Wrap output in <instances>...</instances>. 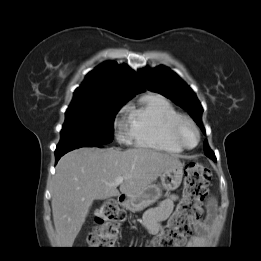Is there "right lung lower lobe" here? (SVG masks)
Returning <instances> with one entry per match:
<instances>
[{"label": "right lung lower lobe", "instance_id": "98d812e1", "mask_svg": "<svg viewBox=\"0 0 261 261\" xmlns=\"http://www.w3.org/2000/svg\"><path fill=\"white\" fill-rule=\"evenodd\" d=\"M80 147H102V145L99 144H94V145H88V146H77V147H72V148H67V149H56L55 151V158H56V163L58 162V160L60 159L61 156H63L65 153L80 148Z\"/></svg>", "mask_w": 261, "mask_h": 261}]
</instances>
